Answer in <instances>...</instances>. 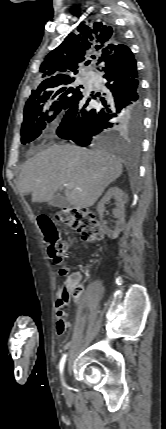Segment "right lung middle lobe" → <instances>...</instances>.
<instances>
[{
    "mask_svg": "<svg viewBox=\"0 0 166 429\" xmlns=\"http://www.w3.org/2000/svg\"><path fill=\"white\" fill-rule=\"evenodd\" d=\"M74 77L58 82L54 85L37 88L25 104L24 121L21 127L22 144L36 139L57 114L66 111L82 93L80 86H74ZM48 111H54L48 116Z\"/></svg>",
    "mask_w": 166,
    "mask_h": 429,
    "instance_id": "1",
    "label": "right lung middle lobe"
}]
</instances>
